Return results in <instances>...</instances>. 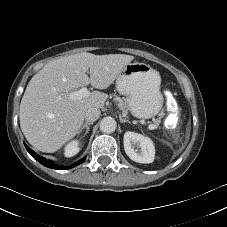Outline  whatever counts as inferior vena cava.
Returning a JSON list of instances; mask_svg holds the SVG:
<instances>
[{
    "label": "inferior vena cava",
    "mask_w": 227,
    "mask_h": 227,
    "mask_svg": "<svg viewBox=\"0 0 227 227\" xmlns=\"http://www.w3.org/2000/svg\"><path fill=\"white\" fill-rule=\"evenodd\" d=\"M101 112L99 109L97 108H89L86 112H85V120L86 122H91L93 123L94 121H96L99 116H100Z\"/></svg>",
    "instance_id": "obj_1"
}]
</instances>
